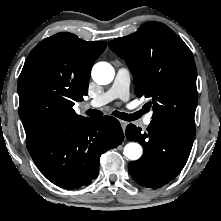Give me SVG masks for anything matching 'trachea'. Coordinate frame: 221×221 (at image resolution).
Wrapping results in <instances>:
<instances>
[{"label":"trachea","instance_id":"3493384b","mask_svg":"<svg viewBox=\"0 0 221 221\" xmlns=\"http://www.w3.org/2000/svg\"><path fill=\"white\" fill-rule=\"evenodd\" d=\"M86 114L90 117H99L102 116V112L96 109H89L86 111ZM143 114V111L136 112L134 114H127L124 112L119 111H113V115L125 120V121H134L137 120L141 115Z\"/></svg>","mask_w":221,"mask_h":221}]
</instances>
